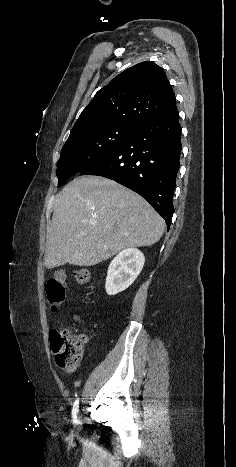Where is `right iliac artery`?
Masks as SVG:
<instances>
[{
	"label": "right iliac artery",
	"instance_id": "1",
	"mask_svg": "<svg viewBox=\"0 0 236 467\" xmlns=\"http://www.w3.org/2000/svg\"><path fill=\"white\" fill-rule=\"evenodd\" d=\"M78 408H79V399H77L73 404V408H72L73 421H76L77 414H78V411H79Z\"/></svg>",
	"mask_w": 236,
	"mask_h": 467
}]
</instances>
